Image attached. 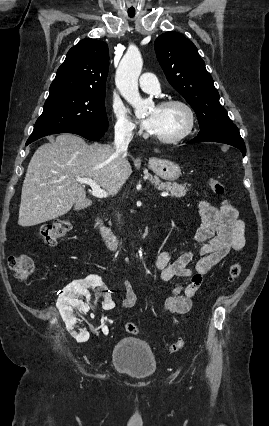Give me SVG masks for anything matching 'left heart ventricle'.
<instances>
[{
    "label": "left heart ventricle",
    "mask_w": 269,
    "mask_h": 426,
    "mask_svg": "<svg viewBox=\"0 0 269 426\" xmlns=\"http://www.w3.org/2000/svg\"><path fill=\"white\" fill-rule=\"evenodd\" d=\"M155 116L149 132L155 136L170 138L180 134L187 126L188 117L179 106L155 107L149 113Z\"/></svg>",
    "instance_id": "1"
}]
</instances>
